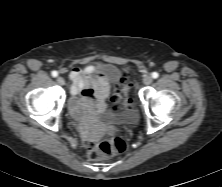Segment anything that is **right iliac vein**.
Returning a JSON list of instances; mask_svg holds the SVG:
<instances>
[{
	"label": "right iliac vein",
	"mask_w": 222,
	"mask_h": 187,
	"mask_svg": "<svg viewBox=\"0 0 222 187\" xmlns=\"http://www.w3.org/2000/svg\"><path fill=\"white\" fill-rule=\"evenodd\" d=\"M57 83H58L59 85H64V84H65L64 78L61 77V76L57 77Z\"/></svg>",
	"instance_id": "1"
}]
</instances>
